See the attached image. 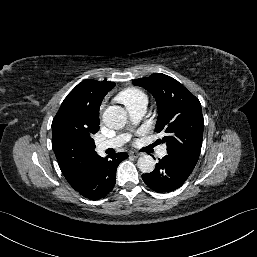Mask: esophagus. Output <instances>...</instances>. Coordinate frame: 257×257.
<instances>
[{
	"instance_id": "esophagus-1",
	"label": "esophagus",
	"mask_w": 257,
	"mask_h": 257,
	"mask_svg": "<svg viewBox=\"0 0 257 257\" xmlns=\"http://www.w3.org/2000/svg\"><path fill=\"white\" fill-rule=\"evenodd\" d=\"M130 155H131L132 157H134V158H138V157L141 156V153L136 152V151H132V152H130Z\"/></svg>"
}]
</instances>
